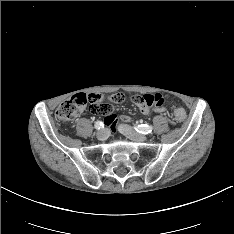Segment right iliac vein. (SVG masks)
I'll list each match as a JSON object with an SVG mask.
<instances>
[{"instance_id":"right-iliac-vein-1","label":"right iliac vein","mask_w":234,"mask_h":234,"mask_svg":"<svg viewBox=\"0 0 234 234\" xmlns=\"http://www.w3.org/2000/svg\"><path fill=\"white\" fill-rule=\"evenodd\" d=\"M108 134H109L108 130L106 128H104V129L99 130L96 133V137L98 140H105V139H107Z\"/></svg>"}]
</instances>
